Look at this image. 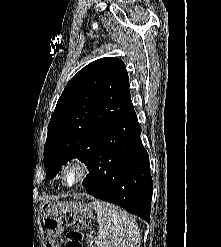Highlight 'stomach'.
Returning a JSON list of instances; mask_svg holds the SVG:
<instances>
[{"mask_svg": "<svg viewBox=\"0 0 221 247\" xmlns=\"http://www.w3.org/2000/svg\"><path fill=\"white\" fill-rule=\"evenodd\" d=\"M39 211L46 217L57 216L58 214L75 211L77 214L85 218L92 216V207L81 203H65V202H51L43 201L39 204Z\"/></svg>", "mask_w": 221, "mask_h": 247, "instance_id": "obj_1", "label": "stomach"}]
</instances>
